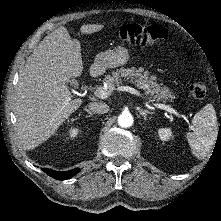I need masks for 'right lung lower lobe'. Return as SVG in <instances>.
Wrapping results in <instances>:
<instances>
[{"instance_id":"obj_1","label":"right lung lower lobe","mask_w":221,"mask_h":221,"mask_svg":"<svg viewBox=\"0 0 221 221\" xmlns=\"http://www.w3.org/2000/svg\"><path fill=\"white\" fill-rule=\"evenodd\" d=\"M81 169L80 168H75L73 170L69 171H55L52 169L44 168L43 171L48 174L49 176L53 177L54 179L57 180H66L74 175H76Z\"/></svg>"}]
</instances>
